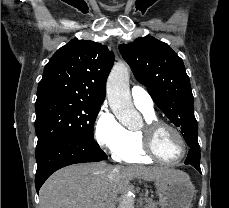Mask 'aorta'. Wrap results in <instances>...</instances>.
<instances>
[{
	"label": "aorta",
	"mask_w": 229,
	"mask_h": 208,
	"mask_svg": "<svg viewBox=\"0 0 229 208\" xmlns=\"http://www.w3.org/2000/svg\"><path fill=\"white\" fill-rule=\"evenodd\" d=\"M107 97L111 110L124 126L134 129L141 123V117L131 99L129 68L125 63L113 66L107 80ZM119 208H134V197L131 192L121 197Z\"/></svg>",
	"instance_id": "762f6f07"
}]
</instances>
